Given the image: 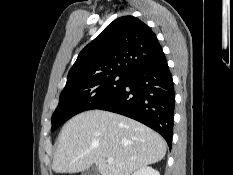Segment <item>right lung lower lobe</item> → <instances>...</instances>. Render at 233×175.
<instances>
[{"mask_svg":"<svg viewBox=\"0 0 233 175\" xmlns=\"http://www.w3.org/2000/svg\"><path fill=\"white\" fill-rule=\"evenodd\" d=\"M174 87L164 53L129 74L121 91L97 109L137 120L160 133L172 146Z\"/></svg>","mask_w":233,"mask_h":175,"instance_id":"right-lung-lower-lobe-1","label":"right lung lower lobe"}]
</instances>
